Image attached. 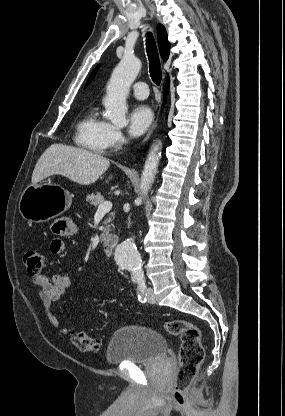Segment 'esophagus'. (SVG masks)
I'll return each mask as SVG.
<instances>
[{
	"label": "esophagus",
	"mask_w": 285,
	"mask_h": 416,
	"mask_svg": "<svg viewBox=\"0 0 285 416\" xmlns=\"http://www.w3.org/2000/svg\"><path fill=\"white\" fill-rule=\"evenodd\" d=\"M157 123H158V119H157V120L155 121V123L152 125V128H150L149 132L147 133V135L145 136L144 140L142 141V144L146 143V142L150 139V137H151V135H152V133H153L154 129H155V128H156V126H157Z\"/></svg>",
	"instance_id": "obj_1"
}]
</instances>
